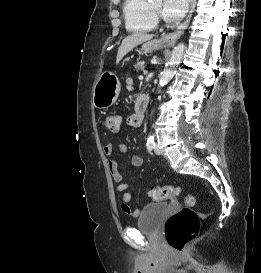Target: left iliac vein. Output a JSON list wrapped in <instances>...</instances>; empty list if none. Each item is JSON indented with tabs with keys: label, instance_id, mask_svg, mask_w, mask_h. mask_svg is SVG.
Returning a JSON list of instances; mask_svg holds the SVG:
<instances>
[{
	"label": "left iliac vein",
	"instance_id": "4c4485c4",
	"mask_svg": "<svg viewBox=\"0 0 261 273\" xmlns=\"http://www.w3.org/2000/svg\"><path fill=\"white\" fill-rule=\"evenodd\" d=\"M154 152H155L157 155H160V154H161V150L159 149L158 145H155Z\"/></svg>",
	"mask_w": 261,
	"mask_h": 273
}]
</instances>
